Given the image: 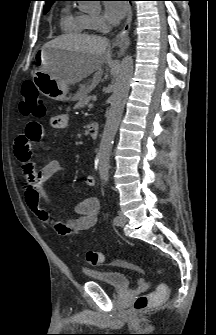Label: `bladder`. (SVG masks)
Instances as JSON below:
<instances>
[{
    "instance_id": "bladder-1",
    "label": "bladder",
    "mask_w": 216,
    "mask_h": 335,
    "mask_svg": "<svg viewBox=\"0 0 216 335\" xmlns=\"http://www.w3.org/2000/svg\"><path fill=\"white\" fill-rule=\"evenodd\" d=\"M84 274L92 281L105 284L114 290H127L130 285V275L121 270H85Z\"/></svg>"
}]
</instances>
